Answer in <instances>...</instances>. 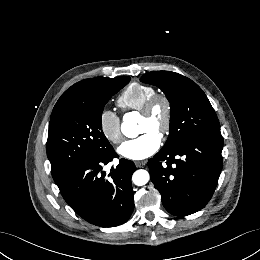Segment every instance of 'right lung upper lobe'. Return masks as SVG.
<instances>
[{"mask_svg": "<svg viewBox=\"0 0 260 260\" xmlns=\"http://www.w3.org/2000/svg\"><path fill=\"white\" fill-rule=\"evenodd\" d=\"M126 77H117V78H91L82 80L73 86H71L67 91L63 93V95L57 101L52 114L56 113L63 107L70 106L76 102L84 101L90 92L95 89L96 87H100L105 82L110 80H121L125 79Z\"/></svg>", "mask_w": 260, "mask_h": 260, "instance_id": "1", "label": "right lung upper lobe"}]
</instances>
